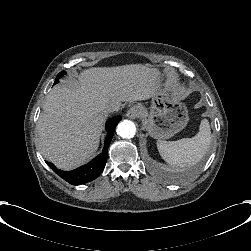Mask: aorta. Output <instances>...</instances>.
Instances as JSON below:
<instances>
[{"label":"aorta","mask_w":251,"mask_h":251,"mask_svg":"<svg viewBox=\"0 0 251 251\" xmlns=\"http://www.w3.org/2000/svg\"><path fill=\"white\" fill-rule=\"evenodd\" d=\"M117 134L122 138H132L135 135V124L130 120H124L117 126Z\"/></svg>","instance_id":"1"}]
</instances>
